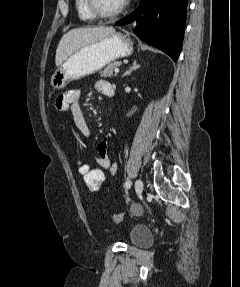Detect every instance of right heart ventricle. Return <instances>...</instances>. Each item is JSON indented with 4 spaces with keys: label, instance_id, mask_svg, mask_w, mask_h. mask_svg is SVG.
Instances as JSON below:
<instances>
[{
    "label": "right heart ventricle",
    "instance_id": "obj_1",
    "mask_svg": "<svg viewBox=\"0 0 240 287\" xmlns=\"http://www.w3.org/2000/svg\"><path fill=\"white\" fill-rule=\"evenodd\" d=\"M75 9L79 19L82 21H92L96 18L89 10L87 0H75Z\"/></svg>",
    "mask_w": 240,
    "mask_h": 287
}]
</instances>
